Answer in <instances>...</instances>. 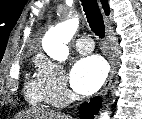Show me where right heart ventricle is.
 Instances as JSON below:
<instances>
[{"mask_svg":"<svg viewBox=\"0 0 142 119\" xmlns=\"http://www.w3.org/2000/svg\"><path fill=\"white\" fill-rule=\"evenodd\" d=\"M25 95L32 104L40 105L48 103L46 89L39 77L28 80Z\"/></svg>","mask_w":142,"mask_h":119,"instance_id":"1","label":"right heart ventricle"}]
</instances>
